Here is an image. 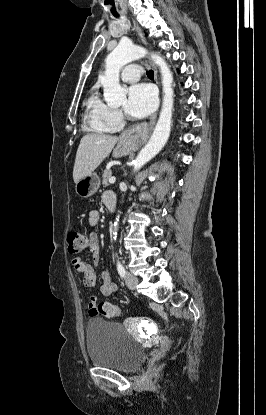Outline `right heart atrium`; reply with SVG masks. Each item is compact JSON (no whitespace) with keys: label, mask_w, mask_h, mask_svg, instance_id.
I'll list each match as a JSON object with an SVG mask.
<instances>
[{"label":"right heart atrium","mask_w":266,"mask_h":415,"mask_svg":"<svg viewBox=\"0 0 266 415\" xmlns=\"http://www.w3.org/2000/svg\"><path fill=\"white\" fill-rule=\"evenodd\" d=\"M101 115L105 123L111 128L119 127L124 120L122 112L117 109L103 104L101 107Z\"/></svg>","instance_id":"obj_1"}]
</instances>
